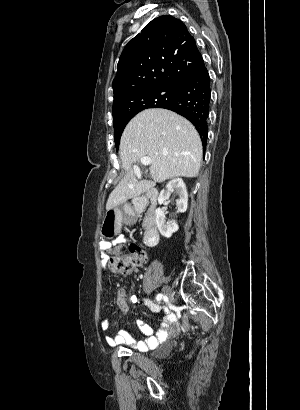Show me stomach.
<instances>
[{"label":"stomach","instance_id":"1","mask_svg":"<svg viewBox=\"0 0 300 410\" xmlns=\"http://www.w3.org/2000/svg\"><path fill=\"white\" fill-rule=\"evenodd\" d=\"M127 219H135L133 209L127 203L107 210L101 225L102 236L112 238L119 234Z\"/></svg>","mask_w":300,"mask_h":410}]
</instances>
